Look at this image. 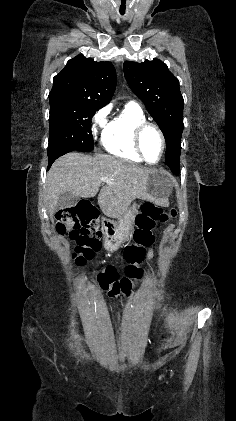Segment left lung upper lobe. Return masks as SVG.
I'll list each match as a JSON object with an SVG mask.
<instances>
[{
  "label": "left lung upper lobe",
  "mask_w": 236,
  "mask_h": 421,
  "mask_svg": "<svg viewBox=\"0 0 236 421\" xmlns=\"http://www.w3.org/2000/svg\"><path fill=\"white\" fill-rule=\"evenodd\" d=\"M123 70L131 90L143 101L164 134L166 164L179 165L184 100L178 79L158 59L142 63L126 61Z\"/></svg>",
  "instance_id": "obj_1"
}]
</instances>
